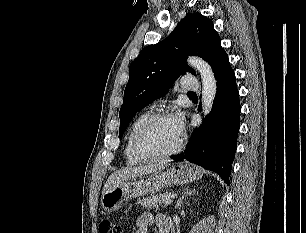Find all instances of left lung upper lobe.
Wrapping results in <instances>:
<instances>
[{
	"instance_id": "obj_1",
	"label": "left lung upper lobe",
	"mask_w": 306,
	"mask_h": 233,
	"mask_svg": "<svg viewBox=\"0 0 306 233\" xmlns=\"http://www.w3.org/2000/svg\"><path fill=\"white\" fill-rule=\"evenodd\" d=\"M224 53L212 20L200 13L186 14L167 39L145 47L129 67V81L119 113L120 138L133 116L153 100L165 96L174 80L186 72L195 74L185 63L188 55L203 58L213 68Z\"/></svg>"
}]
</instances>
